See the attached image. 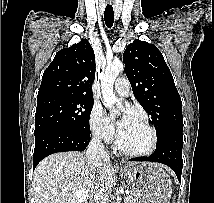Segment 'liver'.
Segmentation results:
<instances>
[{
    "mask_svg": "<svg viewBox=\"0 0 214 203\" xmlns=\"http://www.w3.org/2000/svg\"><path fill=\"white\" fill-rule=\"evenodd\" d=\"M116 182L109 160L93 163L86 153H55L43 159L34 171L35 203H92L101 190L111 191ZM79 190L87 192L86 200L76 195Z\"/></svg>",
    "mask_w": 214,
    "mask_h": 203,
    "instance_id": "obj_1",
    "label": "liver"
}]
</instances>
